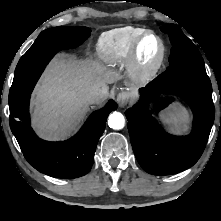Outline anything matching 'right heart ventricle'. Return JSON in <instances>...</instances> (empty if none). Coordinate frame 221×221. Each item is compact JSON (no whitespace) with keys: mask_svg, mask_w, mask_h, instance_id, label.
Returning <instances> with one entry per match:
<instances>
[{"mask_svg":"<svg viewBox=\"0 0 221 221\" xmlns=\"http://www.w3.org/2000/svg\"><path fill=\"white\" fill-rule=\"evenodd\" d=\"M147 31L141 27L117 28L103 34L97 44L100 57L111 66L129 62L136 40Z\"/></svg>","mask_w":221,"mask_h":221,"instance_id":"e07e8e85","label":"right heart ventricle"}]
</instances>
